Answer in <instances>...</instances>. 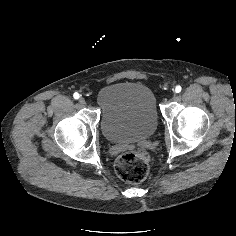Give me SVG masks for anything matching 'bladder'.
<instances>
[{"label":"bladder","instance_id":"obj_1","mask_svg":"<svg viewBox=\"0 0 236 236\" xmlns=\"http://www.w3.org/2000/svg\"><path fill=\"white\" fill-rule=\"evenodd\" d=\"M101 130L111 143H131L152 136L159 122L157 100L146 85L116 82L96 95Z\"/></svg>","mask_w":236,"mask_h":236}]
</instances>
